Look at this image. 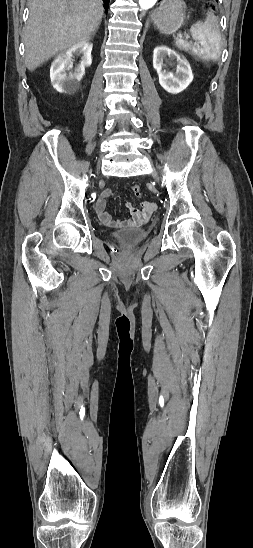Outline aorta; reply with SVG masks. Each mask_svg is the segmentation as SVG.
Instances as JSON below:
<instances>
[{"instance_id":"1","label":"aorta","mask_w":253,"mask_h":548,"mask_svg":"<svg viewBox=\"0 0 253 548\" xmlns=\"http://www.w3.org/2000/svg\"><path fill=\"white\" fill-rule=\"evenodd\" d=\"M157 2L158 0H139V5L142 9L147 10L152 8Z\"/></svg>"}]
</instances>
